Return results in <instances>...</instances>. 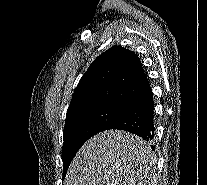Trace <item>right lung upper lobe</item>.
Wrapping results in <instances>:
<instances>
[{
    "instance_id": "right-lung-upper-lobe-1",
    "label": "right lung upper lobe",
    "mask_w": 207,
    "mask_h": 185,
    "mask_svg": "<svg viewBox=\"0 0 207 185\" xmlns=\"http://www.w3.org/2000/svg\"><path fill=\"white\" fill-rule=\"evenodd\" d=\"M149 88L138 56L121 46H113L98 56L81 77L66 117L98 106L122 110Z\"/></svg>"
}]
</instances>
